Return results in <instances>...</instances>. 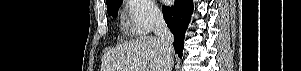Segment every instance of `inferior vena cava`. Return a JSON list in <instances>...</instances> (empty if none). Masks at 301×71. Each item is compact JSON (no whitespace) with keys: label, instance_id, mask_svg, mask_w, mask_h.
Returning a JSON list of instances; mask_svg holds the SVG:
<instances>
[{"label":"inferior vena cava","instance_id":"602c4592","mask_svg":"<svg viewBox=\"0 0 301 71\" xmlns=\"http://www.w3.org/2000/svg\"><path fill=\"white\" fill-rule=\"evenodd\" d=\"M154 32L156 38L160 41V47L163 53L162 71H171L174 37L162 14H156L154 17Z\"/></svg>","mask_w":301,"mask_h":71}]
</instances>
